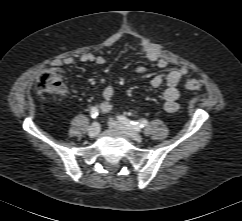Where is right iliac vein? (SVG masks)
Returning <instances> with one entry per match:
<instances>
[{
    "label": "right iliac vein",
    "mask_w": 242,
    "mask_h": 221,
    "mask_svg": "<svg viewBox=\"0 0 242 221\" xmlns=\"http://www.w3.org/2000/svg\"><path fill=\"white\" fill-rule=\"evenodd\" d=\"M100 131V126L97 122H94L88 129V135L90 137H96Z\"/></svg>",
    "instance_id": "right-iliac-vein-1"
}]
</instances>
